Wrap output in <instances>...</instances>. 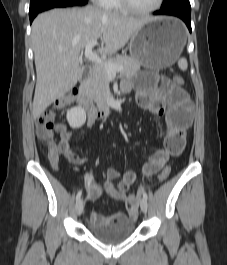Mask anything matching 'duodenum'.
Returning <instances> with one entry per match:
<instances>
[{"label": "duodenum", "mask_w": 227, "mask_h": 265, "mask_svg": "<svg viewBox=\"0 0 227 265\" xmlns=\"http://www.w3.org/2000/svg\"><path fill=\"white\" fill-rule=\"evenodd\" d=\"M90 72V68L86 69L81 77L80 86L76 92L77 101L86 110L90 118L94 120L106 118L115 110L117 101L102 105L94 104L87 89Z\"/></svg>", "instance_id": "410a0bca"}]
</instances>
